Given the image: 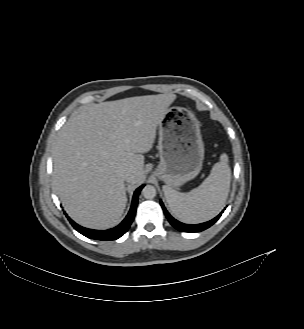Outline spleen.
<instances>
[{
	"label": "spleen",
	"mask_w": 304,
	"mask_h": 329,
	"mask_svg": "<svg viewBox=\"0 0 304 329\" xmlns=\"http://www.w3.org/2000/svg\"><path fill=\"white\" fill-rule=\"evenodd\" d=\"M231 169L228 156L222 154L210 175L188 193H180L169 186L163 191L172 213L185 223H201L214 218L223 208L230 187Z\"/></svg>",
	"instance_id": "1"
}]
</instances>
